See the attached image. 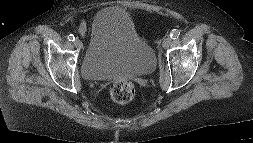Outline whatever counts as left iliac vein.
Wrapping results in <instances>:
<instances>
[{
    "label": "left iliac vein",
    "mask_w": 253,
    "mask_h": 143,
    "mask_svg": "<svg viewBox=\"0 0 253 143\" xmlns=\"http://www.w3.org/2000/svg\"><path fill=\"white\" fill-rule=\"evenodd\" d=\"M172 39L170 37H166L164 38L163 42H162V46L163 48H168L171 45Z\"/></svg>",
    "instance_id": "obj_1"
}]
</instances>
